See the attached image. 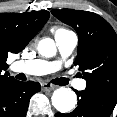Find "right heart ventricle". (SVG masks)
<instances>
[{
  "instance_id": "right-heart-ventricle-1",
  "label": "right heart ventricle",
  "mask_w": 117,
  "mask_h": 117,
  "mask_svg": "<svg viewBox=\"0 0 117 117\" xmlns=\"http://www.w3.org/2000/svg\"><path fill=\"white\" fill-rule=\"evenodd\" d=\"M52 31L55 33V35L59 34V33H63L65 31H67L64 28H53Z\"/></svg>"
}]
</instances>
